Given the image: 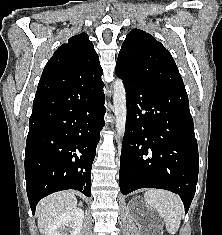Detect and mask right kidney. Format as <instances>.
<instances>
[{"instance_id": "right-kidney-1", "label": "right kidney", "mask_w": 222, "mask_h": 235, "mask_svg": "<svg viewBox=\"0 0 222 235\" xmlns=\"http://www.w3.org/2000/svg\"><path fill=\"white\" fill-rule=\"evenodd\" d=\"M83 219L84 211L81 208H75L52 221L48 226L45 235H66L63 232L65 226L72 229L70 235H80Z\"/></svg>"}]
</instances>
